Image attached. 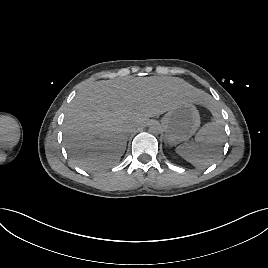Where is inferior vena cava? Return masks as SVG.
Returning a JSON list of instances; mask_svg holds the SVG:
<instances>
[{
    "mask_svg": "<svg viewBox=\"0 0 268 268\" xmlns=\"http://www.w3.org/2000/svg\"><path fill=\"white\" fill-rule=\"evenodd\" d=\"M135 129H136V127L129 126L128 129H127V131H128V132H132V131H134Z\"/></svg>",
    "mask_w": 268,
    "mask_h": 268,
    "instance_id": "obj_1",
    "label": "inferior vena cava"
}]
</instances>
